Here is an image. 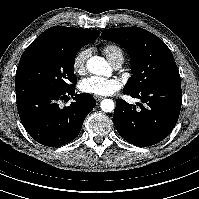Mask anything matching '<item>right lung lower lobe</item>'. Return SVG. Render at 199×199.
Segmentation results:
<instances>
[{
	"label": "right lung lower lobe",
	"instance_id": "obj_1",
	"mask_svg": "<svg viewBox=\"0 0 199 199\" xmlns=\"http://www.w3.org/2000/svg\"><path fill=\"white\" fill-rule=\"evenodd\" d=\"M75 88L57 92L31 89L17 92V108L26 131L38 143L60 147L74 140L85 117L96 102L89 93L75 94ZM71 95L75 100L60 108L59 101Z\"/></svg>",
	"mask_w": 199,
	"mask_h": 199
}]
</instances>
